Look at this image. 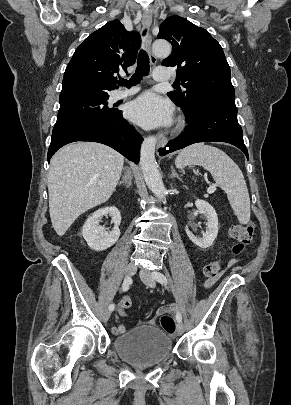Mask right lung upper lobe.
Segmentation results:
<instances>
[{
  "instance_id": "obj_1",
  "label": "right lung upper lobe",
  "mask_w": 291,
  "mask_h": 405,
  "mask_svg": "<svg viewBox=\"0 0 291 405\" xmlns=\"http://www.w3.org/2000/svg\"><path fill=\"white\" fill-rule=\"evenodd\" d=\"M140 36L128 32L119 20L105 24L75 50L66 67L59 101L109 97L115 73L135 63Z\"/></svg>"
}]
</instances>
